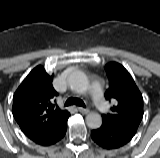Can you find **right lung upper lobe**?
<instances>
[{
  "mask_svg": "<svg viewBox=\"0 0 160 158\" xmlns=\"http://www.w3.org/2000/svg\"><path fill=\"white\" fill-rule=\"evenodd\" d=\"M52 81L53 75L38 65L13 96V116L23 133L33 141L57 130L70 116L67 110L55 104L58 93Z\"/></svg>",
  "mask_w": 160,
  "mask_h": 158,
  "instance_id": "obj_1",
  "label": "right lung upper lobe"
}]
</instances>
